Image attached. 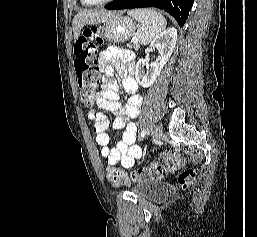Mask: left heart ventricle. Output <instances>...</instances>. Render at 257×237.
<instances>
[{
  "label": "left heart ventricle",
  "mask_w": 257,
  "mask_h": 237,
  "mask_svg": "<svg viewBox=\"0 0 257 237\" xmlns=\"http://www.w3.org/2000/svg\"><path fill=\"white\" fill-rule=\"evenodd\" d=\"M89 1L98 2V1H103V0H89Z\"/></svg>",
  "instance_id": "left-heart-ventricle-1"
}]
</instances>
